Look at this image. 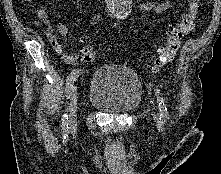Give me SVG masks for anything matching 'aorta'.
Listing matches in <instances>:
<instances>
[{"mask_svg": "<svg viewBox=\"0 0 221 174\" xmlns=\"http://www.w3.org/2000/svg\"><path fill=\"white\" fill-rule=\"evenodd\" d=\"M110 15L118 18L126 17L131 12L132 0H105Z\"/></svg>", "mask_w": 221, "mask_h": 174, "instance_id": "aorta-1", "label": "aorta"}]
</instances>
